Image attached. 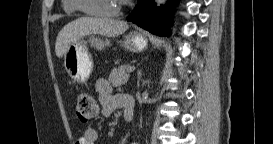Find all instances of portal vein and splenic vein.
Wrapping results in <instances>:
<instances>
[{
    "mask_svg": "<svg viewBox=\"0 0 273 144\" xmlns=\"http://www.w3.org/2000/svg\"><path fill=\"white\" fill-rule=\"evenodd\" d=\"M134 70H135V67H134V66L129 67V68L127 69V73H132Z\"/></svg>",
    "mask_w": 273,
    "mask_h": 144,
    "instance_id": "1",
    "label": "portal vein and splenic vein"
}]
</instances>
